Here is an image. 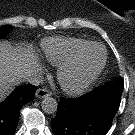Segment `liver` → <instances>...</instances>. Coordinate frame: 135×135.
Wrapping results in <instances>:
<instances>
[{
  "label": "liver",
  "mask_w": 135,
  "mask_h": 135,
  "mask_svg": "<svg viewBox=\"0 0 135 135\" xmlns=\"http://www.w3.org/2000/svg\"><path fill=\"white\" fill-rule=\"evenodd\" d=\"M37 59L31 47H15L0 41V102L6 91L22 80L27 70L36 67Z\"/></svg>",
  "instance_id": "1"
}]
</instances>
